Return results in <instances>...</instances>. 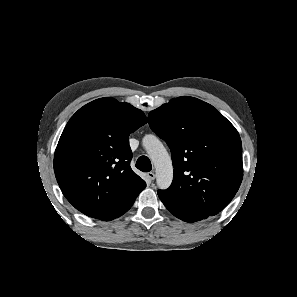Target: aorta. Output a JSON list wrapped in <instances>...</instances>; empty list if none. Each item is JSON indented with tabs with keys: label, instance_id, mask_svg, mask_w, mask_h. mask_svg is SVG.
I'll return each mask as SVG.
<instances>
[{
	"label": "aorta",
	"instance_id": "1",
	"mask_svg": "<svg viewBox=\"0 0 297 297\" xmlns=\"http://www.w3.org/2000/svg\"><path fill=\"white\" fill-rule=\"evenodd\" d=\"M142 144L156 169L157 186L160 189H167L173 179L171 157L162 142L154 135H146Z\"/></svg>",
	"mask_w": 297,
	"mask_h": 297
}]
</instances>
